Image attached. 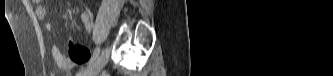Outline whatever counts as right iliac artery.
<instances>
[{
  "label": "right iliac artery",
  "instance_id": "82829eb1",
  "mask_svg": "<svg viewBox=\"0 0 333 76\" xmlns=\"http://www.w3.org/2000/svg\"><path fill=\"white\" fill-rule=\"evenodd\" d=\"M99 53H100V49L96 48L95 51H94V53H93L92 59L87 64V67L85 69H82L80 71L79 75H82V73L93 64V62L98 58Z\"/></svg>",
  "mask_w": 333,
  "mask_h": 76
}]
</instances>
